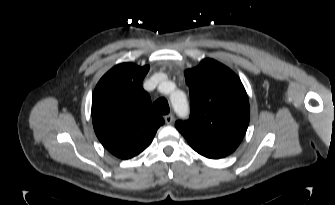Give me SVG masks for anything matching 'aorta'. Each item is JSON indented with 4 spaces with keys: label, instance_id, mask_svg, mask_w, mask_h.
Wrapping results in <instances>:
<instances>
[{
    "label": "aorta",
    "instance_id": "aorta-1",
    "mask_svg": "<svg viewBox=\"0 0 335 205\" xmlns=\"http://www.w3.org/2000/svg\"><path fill=\"white\" fill-rule=\"evenodd\" d=\"M171 85V82L166 83L167 88H169ZM171 103L178 116L184 117L188 114L189 106L187 103V98L182 91H175L172 93Z\"/></svg>",
    "mask_w": 335,
    "mask_h": 205
}]
</instances>
